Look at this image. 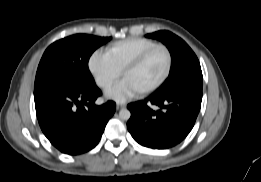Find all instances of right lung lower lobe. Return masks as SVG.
Listing matches in <instances>:
<instances>
[{
  "label": "right lung lower lobe",
  "mask_w": 261,
  "mask_h": 182,
  "mask_svg": "<svg viewBox=\"0 0 261 182\" xmlns=\"http://www.w3.org/2000/svg\"><path fill=\"white\" fill-rule=\"evenodd\" d=\"M101 94L97 86L81 91L62 80L34 87L38 122L52 145L77 155L98 144L116 107L113 101L97 106L95 100Z\"/></svg>",
  "instance_id": "obj_1"
}]
</instances>
